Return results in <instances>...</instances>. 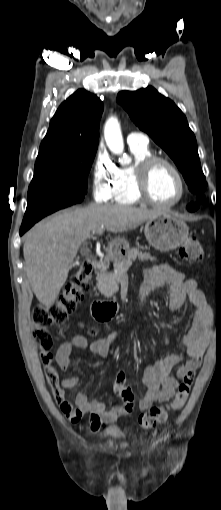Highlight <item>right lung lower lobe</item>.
<instances>
[{
  "label": "right lung lower lobe",
  "instance_id": "right-lung-lower-lobe-1",
  "mask_svg": "<svg viewBox=\"0 0 221 510\" xmlns=\"http://www.w3.org/2000/svg\"><path fill=\"white\" fill-rule=\"evenodd\" d=\"M58 210V209H57ZM57 210L48 208L42 204L28 205L26 213L20 228V235H23L28 229H30L37 221L42 219L48 214H51Z\"/></svg>",
  "mask_w": 221,
  "mask_h": 510
}]
</instances>
